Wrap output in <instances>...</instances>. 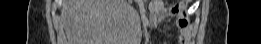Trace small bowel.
I'll list each match as a JSON object with an SVG mask.
<instances>
[{"label":"small bowel","instance_id":"small-bowel-1","mask_svg":"<svg viewBox=\"0 0 261 44\" xmlns=\"http://www.w3.org/2000/svg\"><path fill=\"white\" fill-rule=\"evenodd\" d=\"M186 6L167 7L161 0H153L149 4V22L157 24L162 22L167 16L175 15L177 18L171 27L177 29V43L185 44L191 35V24L189 19V11Z\"/></svg>","mask_w":261,"mask_h":44}]
</instances>
